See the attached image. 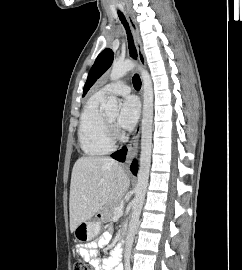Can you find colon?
<instances>
[{
    "instance_id": "5ec220e1",
    "label": "colon",
    "mask_w": 242,
    "mask_h": 270,
    "mask_svg": "<svg viewBox=\"0 0 242 270\" xmlns=\"http://www.w3.org/2000/svg\"><path fill=\"white\" fill-rule=\"evenodd\" d=\"M73 270H93V268L85 262L77 261L74 264Z\"/></svg>"
}]
</instances>
